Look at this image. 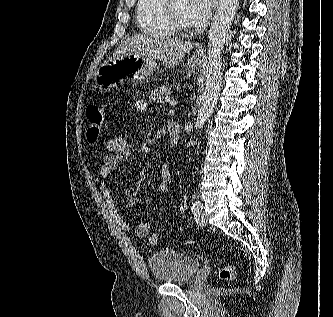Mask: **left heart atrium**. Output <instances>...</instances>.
Wrapping results in <instances>:
<instances>
[{
	"label": "left heart atrium",
	"instance_id": "39dd6f15",
	"mask_svg": "<svg viewBox=\"0 0 333 317\" xmlns=\"http://www.w3.org/2000/svg\"><path fill=\"white\" fill-rule=\"evenodd\" d=\"M211 12L209 0H186V13L190 24L203 25Z\"/></svg>",
	"mask_w": 333,
	"mask_h": 317
}]
</instances>
